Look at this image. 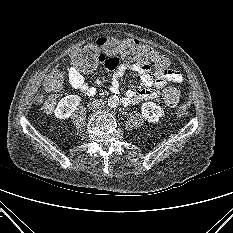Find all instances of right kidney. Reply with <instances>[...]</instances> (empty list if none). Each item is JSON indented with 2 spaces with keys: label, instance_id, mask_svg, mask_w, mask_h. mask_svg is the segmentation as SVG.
<instances>
[{
  "label": "right kidney",
  "instance_id": "1",
  "mask_svg": "<svg viewBox=\"0 0 233 233\" xmlns=\"http://www.w3.org/2000/svg\"><path fill=\"white\" fill-rule=\"evenodd\" d=\"M80 101L81 99L78 95H67L63 97L54 111L55 116L59 119L69 118L75 112Z\"/></svg>",
  "mask_w": 233,
  "mask_h": 233
}]
</instances>
